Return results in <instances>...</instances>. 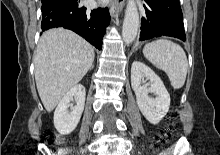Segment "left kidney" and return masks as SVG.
<instances>
[{
	"label": "left kidney",
	"mask_w": 220,
	"mask_h": 155,
	"mask_svg": "<svg viewBox=\"0 0 220 155\" xmlns=\"http://www.w3.org/2000/svg\"><path fill=\"white\" fill-rule=\"evenodd\" d=\"M144 78H147L149 83L142 84ZM131 86L143 116L151 124H158L165 117L170 106V95L162 80L146 64L134 61L131 67ZM148 93H153L155 97H149Z\"/></svg>",
	"instance_id": "left-kidney-1"
}]
</instances>
